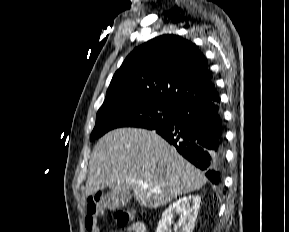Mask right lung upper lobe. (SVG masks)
Wrapping results in <instances>:
<instances>
[{"instance_id": "obj_1", "label": "right lung upper lobe", "mask_w": 289, "mask_h": 232, "mask_svg": "<svg viewBox=\"0 0 289 232\" xmlns=\"http://www.w3.org/2000/svg\"><path fill=\"white\" fill-rule=\"evenodd\" d=\"M129 96L175 108L219 97L205 56L193 43L173 34L136 47L115 72L106 98Z\"/></svg>"}]
</instances>
